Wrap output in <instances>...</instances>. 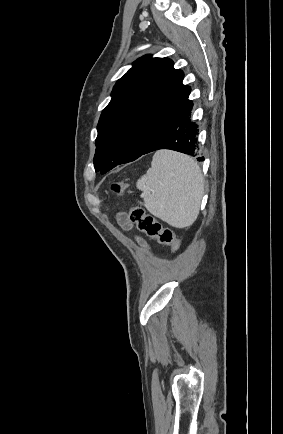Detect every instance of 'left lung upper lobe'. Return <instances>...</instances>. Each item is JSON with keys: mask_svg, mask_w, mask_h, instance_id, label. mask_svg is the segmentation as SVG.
I'll return each instance as SVG.
<instances>
[{"mask_svg": "<svg viewBox=\"0 0 283 434\" xmlns=\"http://www.w3.org/2000/svg\"><path fill=\"white\" fill-rule=\"evenodd\" d=\"M183 72L168 58L146 55L114 86L97 125L95 171L140 157L166 119L188 98Z\"/></svg>", "mask_w": 283, "mask_h": 434, "instance_id": "obj_1", "label": "left lung upper lobe"}]
</instances>
